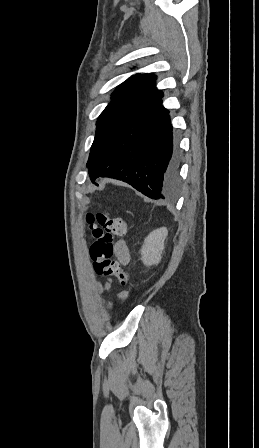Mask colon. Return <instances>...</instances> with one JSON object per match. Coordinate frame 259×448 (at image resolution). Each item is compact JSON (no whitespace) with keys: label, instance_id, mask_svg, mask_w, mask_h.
I'll list each match as a JSON object with an SVG mask.
<instances>
[{"label":"colon","instance_id":"obj_1","mask_svg":"<svg viewBox=\"0 0 259 448\" xmlns=\"http://www.w3.org/2000/svg\"><path fill=\"white\" fill-rule=\"evenodd\" d=\"M86 221L93 239L90 256L95 272L100 275L115 276L121 286L127 285L129 281L127 272L117 260L112 259V256L114 236H126L129 224L121 218H110L102 212L88 213Z\"/></svg>","mask_w":259,"mask_h":448}]
</instances>
